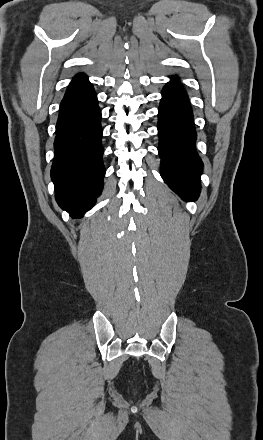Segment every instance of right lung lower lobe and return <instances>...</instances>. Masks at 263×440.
<instances>
[{
    "instance_id": "98d812e1",
    "label": "right lung lower lobe",
    "mask_w": 263,
    "mask_h": 440,
    "mask_svg": "<svg viewBox=\"0 0 263 440\" xmlns=\"http://www.w3.org/2000/svg\"><path fill=\"white\" fill-rule=\"evenodd\" d=\"M100 120L97 95L87 76L80 73L60 104L51 169L56 201L72 217L90 210L103 188Z\"/></svg>"
}]
</instances>
